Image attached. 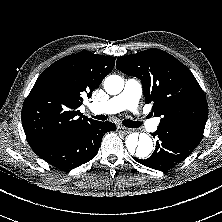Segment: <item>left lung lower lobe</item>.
Segmentation results:
<instances>
[{"instance_id": "0a47b994", "label": "left lung lower lobe", "mask_w": 222, "mask_h": 222, "mask_svg": "<svg viewBox=\"0 0 222 222\" xmlns=\"http://www.w3.org/2000/svg\"><path fill=\"white\" fill-rule=\"evenodd\" d=\"M204 129L179 123H159L154 136L159 138L154 153L148 159L134 158L152 169L166 171L181 163L198 146Z\"/></svg>"}]
</instances>
